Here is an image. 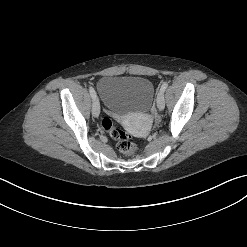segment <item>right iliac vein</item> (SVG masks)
Wrapping results in <instances>:
<instances>
[{"instance_id":"1","label":"right iliac vein","mask_w":247,"mask_h":247,"mask_svg":"<svg viewBox=\"0 0 247 247\" xmlns=\"http://www.w3.org/2000/svg\"><path fill=\"white\" fill-rule=\"evenodd\" d=\"M99 114H100V103L99 100L95 98L92 104V115L94 117H98Z\"/></svg>"}]
</instances>
